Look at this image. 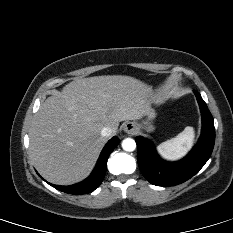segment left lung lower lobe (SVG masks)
<instances>
[{
  "mask_svg": "<svg viewBox=\"0 0 233 233\" xmlns=\"http://www.w3.org/2000/svg\"><path fill=\"white\" fill-rule=\"evenodd\" d=\"M202 115V134L197 145L178 162L163 161L153 145L142 137H137V160L143 176L153 185L174 186L185 182L197 174L209 159L215 142L213 117L201 95L194 91Z\"/></svg>",
  "mask_w": 233,
  "mask_h": 233,
  "instance_id": "1",
  "label": "left lung lower lobe"
}]
</instances>
